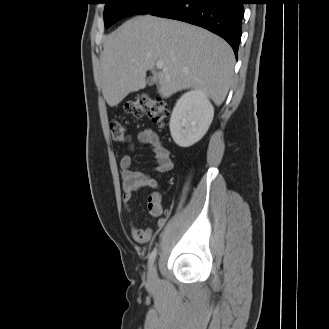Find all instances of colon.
<instances>
[{"instance_id": "colon-1", "label": "colon", "mask_w": 329, "mask_h": 329, "mask_svg": "<svg viewBox=\"0 0 329 329\" xmlns=\"http://www.w3.org/2000/svg\"><path fill=\"white\" fill-rule=\"evenodd\" d=\"M124 110L136 119H141L146 115L159 125H164L170 116L168 107L161 99H154L146 94H140L135 99L126 102ZM110 131L115 142L125 143L127 141L126 128L120 122L112 121Z\"/></svg>"}]
</instances>
